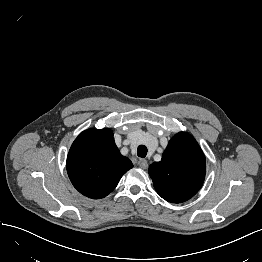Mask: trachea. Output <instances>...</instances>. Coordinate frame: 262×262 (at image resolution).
<instances>
[{"mask_svg": "<svg viewBox=\"0 0 262 262\" xmlns=\"http://www.w3.org/2000/svg\"><path fill=\"white\" fill-rule=\"evenodd\" d=\"M147 152H148V150H147V147H146V146H144V145L138 146V148H137V155H138L139 157L145 158L146 155H147Z\"/></svg>", "mask_w": 262, "mask_h": 262, "instance_id": "1", "label": "trachea"}]
</instances>
